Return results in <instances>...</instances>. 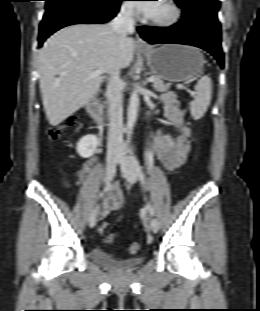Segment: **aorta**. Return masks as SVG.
<instances>
[{
	"instance_id": "762f6f07",
	"label": "aorta",
	"mask_w": 260,
	"mask_h": 311,
	"mask_svg": "<svg viewBox=\"0 0 260 311\" xmlns=\"http://www.w3.org/2000/svg\"><path fill=\"white\" fill-rule=\"evenodd\" d=\"M138 106H139V95H138L137 91H134L130 97L128 113H127L128 138H130L131 131H132L134 124L136 122V119H137Z\"/></svg>"
}]
</instances>
